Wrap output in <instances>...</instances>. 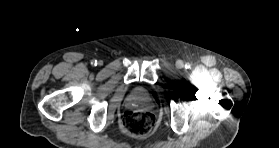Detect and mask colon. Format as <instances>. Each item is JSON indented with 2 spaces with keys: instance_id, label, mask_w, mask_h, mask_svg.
Here are the masks:
<instances>
[{
  "instance_id": "obj_1",
  "label": "colon",
  "mask_w": 279,
  "mask_h": 148,
  "mask_svg": "<svg viewBox=\"0 0 279 148\" xmlns=\"http://www.w3.org/2000/svg\"><path fill=\"white\" fill-rule=\"evenodd\" d=\"M120 125L128 135L144 136L156 128L157 120L151 112L130 110L123 114Z\"/></svg>"
}]
</instances>
